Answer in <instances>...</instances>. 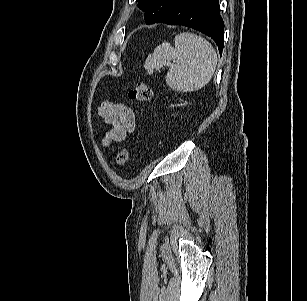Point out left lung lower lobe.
<instances>
[{
	"label": "left lung lower lobe",
	"mask_w": 307,
	"mask_h": 301,
	"mask_svg": "<svg viewBox=\"0 0 307 301\" xmlns=\"http://www.w3.org/2000/svg\"><path fill=\"white\" fill-rule=\"evenodd\" d=\"M183 25L210 36L220 55L224 44V22L219 12V0H179L155 23Z\"/></svg>",
	"instance_id": "left-lung-lower-lobe-1"
}]
</instances>
